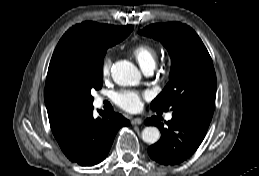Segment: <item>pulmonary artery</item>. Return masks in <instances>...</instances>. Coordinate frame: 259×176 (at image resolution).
Returning a JSON list of instances; mask_svg holds the SVG:
<instances>
[{
	"instance_id": "pulmonary-artery-1",
	"label": "pulmonary artery",
	"mask_w": 259,
	"mask_h": 176,
	"mask_svg": "<svg viewBox=\"0 0 259 176\" xmlns=\"http://www.w3.org/2000/svg\"><path fill=\"white\" fill-rule=\"evenodd\" d=\"M153 69H154V68L150 67V68H145V69H143V71H144V73H145L146 75H151V74L153 73ZM99 102H100V100H99ZM171 119H172V113H168V114L166 115V120H171Z\"/></svg>"
}]
</instances>
